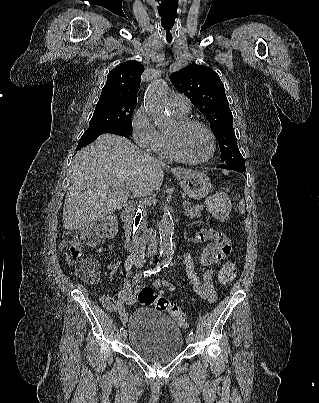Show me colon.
I'll use <instances>...</instances> for the list:
<instances>
[{"mask_svg": "<svg viewBox=\"0 0 319 403\" xmlns=\"http://www.w3.org/2000/svg\"><path fill=\"white\" fill-rule=\"evenodd\" d=\"M229 203V198L226 194L217 193L208 198L207 207L214 217L224 220L228 214ZM116 228V220L108 216L81 231L65 234L62 250L66 254L68 261L74 265L80 278L87 282H95L98 280L100 272L99 263L93 258L84 256L83 245L99 246L105 238L114 236ZM235 276L236 268L232 264L224 265L219 272V280L223 284L232 282ZM138 300L144 307H154L158 311L169 314L181 328L186 329L189 327V321L184 311L178 305L156 293L152 288H141L138 291Z\"/></svg>", "mask_w": 319, "mask_h": 403, "instance_id": "1", "label": "colon"}]
</instances>
